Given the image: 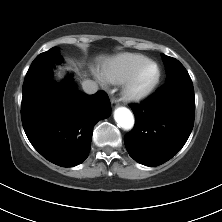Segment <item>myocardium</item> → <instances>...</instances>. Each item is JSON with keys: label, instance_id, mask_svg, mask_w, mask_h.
Returning <instances> with one entry per match:
<instances>
[{"label": "myocardium", "instance_id": "1", "mask_svg": "<svg viewBox=\"0 0 222 222\" xmlns=\"http://www.w3.org/2000/svg\"><path fill=\"white\" fill-rule=\"evenodd\" d=\"M153 66L155 68L154 77L144 86L138 85L141 73L147 66ZM161 70L159 65L152 60H146L140 64L123 82L122 96L125 100L131 102H139L146 99L156 88L160 81Z\"/></svg>", "mask_w": 222, "mask_h": 222}]
</instances>
